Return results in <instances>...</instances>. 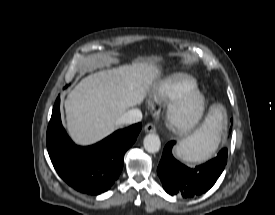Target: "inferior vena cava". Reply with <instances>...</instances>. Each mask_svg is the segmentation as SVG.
Segmentation results:
<instances>
[{
    "instance_id": "1",
    "label": "inferior vena cava",
    "mask_w": 275,
    "mask_h": 215,
    "mask_svg": "<svg viewBox=\"0 0 275 215\" xmlns=\"http://www.w3.org/2000/svg\"><path fill=\"white\" fill-rule=\"evenodd\" d=\"M142 120V112L139 109H130L125 112L118 120V124H134Z\"/></svg>"
}]
</instances>
